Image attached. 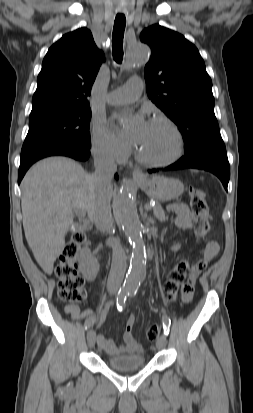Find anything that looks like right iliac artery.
<instances>
[{
    "instance_id": "obj_1",
    "label": "right iliac artery",
    "mask_w": 253,
    "mask_h": 413,
    "mask_svg": "<svg viewBox=\"0 0 253 413\" xmlns=\"http://www.w3.org/2000/svg\"><path fill=\"white\" fill-rule=\"evenodd\" d=\"M129 294L128 290L125 289H120L117 295V299H116V305H117V309L118 311H122L125 305V301L126 298ZM93 325V322H89L85 325V329L90 328Z\"/></svg>"
}]
</instances>
